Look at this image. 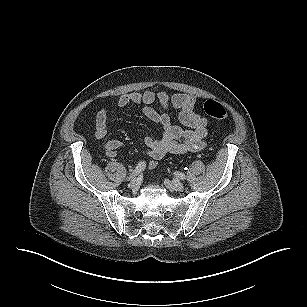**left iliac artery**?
Masks as SVG:
<instances>
[{"label": "left iliac artery", "instance_id": "left-iliac-artery-1", "mask_svg": "<svg viewBox=\"0 0 307 307\" xmlns=\"http://www.w3.org/2000/svg\"><path fill=\"white\" fill-rule=\"evenodd\" d=\"M176 177L180 178L181 180H184L186 179V176L184 173H181V172H175L174 173Z\"/></svg>", "mask_w": 307, "mask_h": 307}]
</instances>
